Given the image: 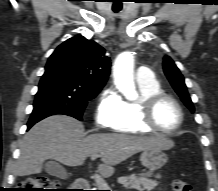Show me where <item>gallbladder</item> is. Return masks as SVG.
<instances>
[{
    "instance_id": "1",
    "label": "gallbladder",
    "mask_w": 218,
    "mask_h": 191,
    "mask_svg": "<svg viewBox=\"0 0 218 191\" xmlns=\"http://www.w3.org/2000/svg\"><path fill=\"white\" fill-rule=\"evenodd\" d=\"M44 169L46 173L58 178H65L67 175L65 169L56 161H48L44 164Z\"/></svg>"
}]
</instances>
